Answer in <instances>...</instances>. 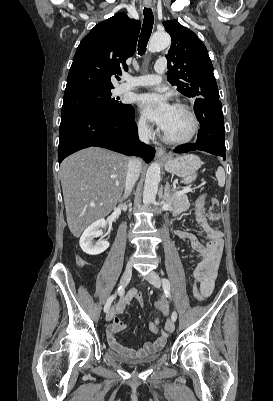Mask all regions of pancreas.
Returning <instances> with one entry per match:
<instances>
[{"label":"pancreas","mask_w":273,"mask_h":401,"mask_svg":"<svg viewBox=\"0 0 273 401\" xmlns=\"http://www.w3.org/2000/svg\"><path fill=\"white\" fill-rule=\"evenodd\" d=\"M169 203H173L172 215L173 217H177L183 211H187L190 207V203L188 201V196L183 192L182 196H179V193L172 194L171 198H169Z\"/></svg>","instance_id":"pancreas-1"}]
</instances>
